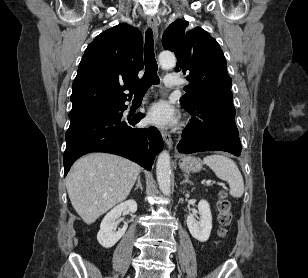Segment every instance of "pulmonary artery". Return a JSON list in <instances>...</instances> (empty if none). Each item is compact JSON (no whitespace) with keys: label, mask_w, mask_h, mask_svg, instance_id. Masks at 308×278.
<instances>
[{"label":"pulmonary artery","mask_w":308,"mask_h":278,"mask_svg":"<svg viewBox=\"0 0 308 278\" xmlns=\"http://www.w3.org/2000/svg\"><path fill=\"white\" fill-rule=\"evenodd\" d=\"M164 83L167 87H175L179 85V78L176 74H168L164 78Z\"/></svg>","instance_id":"e3ab8cb5"}]
</instances>
